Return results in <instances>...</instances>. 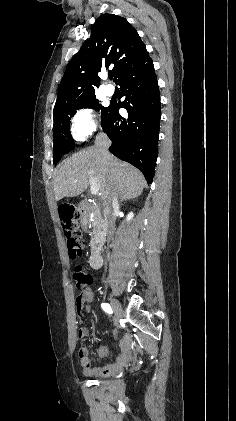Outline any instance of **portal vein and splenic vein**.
Here are the masks:
<instances>
[{"label":"portal vein and splenic vein","instance_id":"1","mask_svg":"<svg viewBox=\"0 0 236 421\" xmlns=\"http://www.w3.org/2000/svg\"><path fill=\"white\" fill-rule=\"evenodd\" d=\"M89 182L91 184L90 186L91 194H98L100 190V186L99 184H97L95 178H89Z\"/></svg>","mask_w":236,"mask_h":421}]
</instances>
